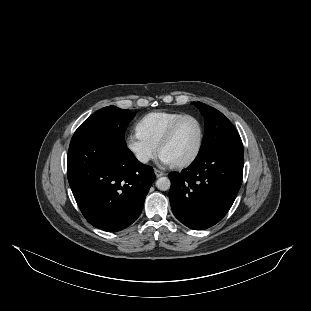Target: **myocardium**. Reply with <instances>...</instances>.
Returning <instances> with one entry per match:
<instances>
[{
    "label": "myocardium",
    "mask_w": 311,
    "mask_h": 311,
    "mask_svg": "<svg viewBox=\"0 0 311 311\" xmlns=\"http://www.w3.org/2000/svg\"><path fill=\"white\" fill-rule=\"evenodd\" d=\"M188 118H194L199 122L200 127H201L200 142H199L198 148H197V150H196V152L192 158H190L189 160H187L185 162H182V163H179L176 165H171V167L175 168V169H184V168L190 167L194 163H196L197 160L200 158V156L203 152L204 146H205L206 137H207V129H206V125H205L204 121L202 120V118L200 116H198L196 114H185L181 118H179L170 127V129L167 131V133L161 139L160 143L157 146L158 155L161 156L162 150L173 141L180 125Z\"/></svg>",
    "instance_id": "f54148a6"
}]
</instances>
